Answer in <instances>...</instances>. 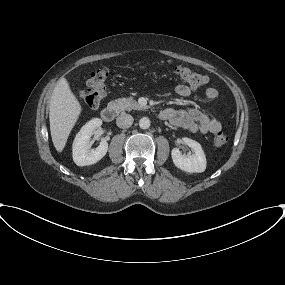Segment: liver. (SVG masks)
Segmentation results:
<instances>
[{"mask_svg": "<svg viewBox=\"0 0 285 285\" xmlns=\"http://www.w3.org/2000/svg\"><path fill=\"white\" fill-rule=\"evenodd\" d=\"M81 111L82 106L67 79L61 78L53 90L49 105L50 132L58 152L63 151Z\"/></svg>", "mask_w": 285, "mask_h": 285, "instance_id": "1", "label": "liver"}]
</instances>
